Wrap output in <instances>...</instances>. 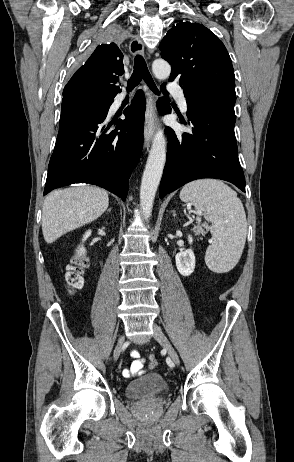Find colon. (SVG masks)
Returning a JSON list of instances; mask_svg holds the SVG:
<instances>
[{
  "instance_id": "obj_1",
  "label": "colon",
  "mask_w": 294,
  "mask_h": 462,
  "mask_svg": "<svg viewBox=\"0 0 294 462\" xmlns=\"http://www.w3.org/2000/svg\"><path fill=\"white\" fill-rule=\"evenodd\" d=\"M87 266V262L81 256L76 255L71 264L67 266V271L65 274V280L68 286L72 289H79L83 285V272ZM157 364V359L155 356L151 355L149 357V365L154 367Z\"/></svg>"
}]
</instances>
